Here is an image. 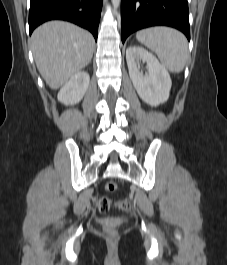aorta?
I'll return each mask as SVG.
<instances>
[{"label":"aorta","mask_w":227,"mask_h":265,"mask_svg":"<svg viewBox=\"0 0 227 265\" xmlns=\"http://www.w3.org/2000/svg\"><path fill=\"white\" fill-rule=\"evenodd\" d=\"M121 0H112V5H113V9L114 11H116L120 5Z\"/></svg>","instance_id":"aorta-1"}]
</instances>
